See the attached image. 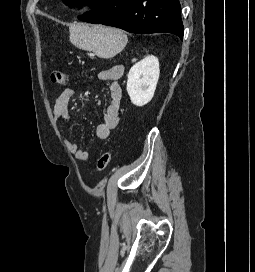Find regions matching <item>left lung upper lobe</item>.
<instances>
[{"label": "left lung upper lobe", "mask_w": 255, "mask_h": 272, "mask_svg": "<svg viewBox=\"0 0 255 272\" xmlns=\"http://www.w3.org/2000/svg\"><path fill=\"white\" fill-rule=\"evenodd\" d=\"M67 5H70L71 6V3L72 2H76V1H83L85 2L86 0H63Z\"/></svg>", "instance_id": "5c2ea615"}]
</instances>
